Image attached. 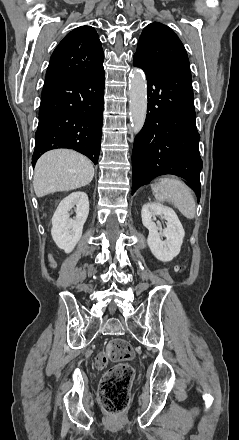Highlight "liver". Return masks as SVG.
Masks as SVG:
<instances>
[{"label": "liver", "instance_id": "6515ba94", "mask_svg": "<svg viewBox=\"0 0 239 440\" xmlns=\"http://www.w3.org/2000/svg\"><path fill=\"white\" fill-rule=\"evenodd\" d=\"M94 168L85 156L73 150H50L35 166L34 192L37 198L52 192H69L92 182Z\"/></svg>", "mask_w": 239, "mask_h": 440}]
</instances>
